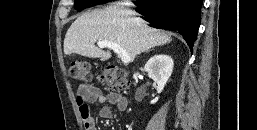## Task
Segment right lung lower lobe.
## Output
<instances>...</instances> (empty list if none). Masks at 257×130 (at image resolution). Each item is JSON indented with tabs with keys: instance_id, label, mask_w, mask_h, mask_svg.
I'll return each instance as SVG.
<instances>
[{
	"instance_id": "1",
	"label": "right lung lower lobe",
	"mask_w": 257,
	"mask_h": 130,
	"mask_svg": "<svg viewBox=\"0 0 257 130\" xmlns=\"http://www.w3.org/2000/svg\"><path fill=\"white\" fill-rule=\"evenodd\" d=\"M203 0H154L136 4L152 27L177 32L192 51L201 23Z\"/></svg>"
}]
</instances>
